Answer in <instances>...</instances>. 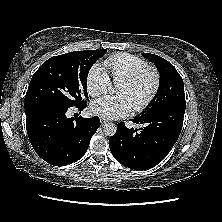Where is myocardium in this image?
<instances>
[{"label": "myocardium", "instance_id": "myocardium-1", "mask_svg": "<svg viewBox=\"0 0 222 222\" xmlns=\"http://www.w3.org/2000/svg\"><path fill=\"white\" fill-rule=\"evenodd\" d=\"M147 72L152 73V75L154 77V85H153V88H152L150 94L147 96V98L143 102H141L140 104L135 105L133 107V109L136 112H141V111L145 110L152 103V101L155 99V97L160 89V84H161V76H160L158 69L154 66L146 65L120 82V84H124V85H133Z\"/></svg>", "mask_w": 222, "mask_h": 222}]
</instances>
